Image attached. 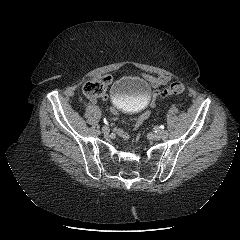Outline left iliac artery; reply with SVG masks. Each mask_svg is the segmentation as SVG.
I'll return each mask as SVG.
<instances>
[{
  "instance_id": "left-iliac-artery-1",
  "label": "left iliac artery",
  "mask_w": 240,
  "mask_h": 240,
  "mask_svg": "<svg viewBox=\"0 0 240 240\" xmlns=\"http://www.w3.org/2000/svg\"><path fill=\"white\" fill-rule=\"evenodd\" d=\"M167 130H168L167 127H166V126H163L162 129H161V132H160L161 135H162V136H165L166 133H167Z\"/></svg>"
}]
</instances>
